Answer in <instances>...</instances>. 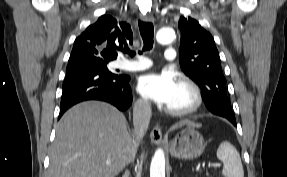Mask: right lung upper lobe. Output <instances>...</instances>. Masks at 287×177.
<instances>
[{"mask_svg":"<svg viewBox=\"0 0 287 177\" xmlns=\"http://www.w3.org/2000/svg\"><path fill=\"white\" fill-rule=\"evenodd\" d=\"M132 41L130 25L105 14L76 38L69 61L86 56L114 60L117 51Z\"/></svg>","mask_w":287,"mask_h":177,"instance_id":"right-lung-upper-lobe-1","label":"right lung upper lobe"}]
</instances>
